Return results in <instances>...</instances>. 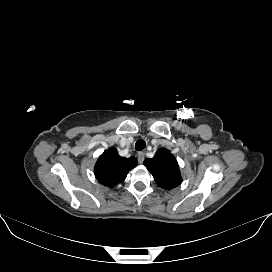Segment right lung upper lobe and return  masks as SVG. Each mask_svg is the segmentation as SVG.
Masks as SVG:
<instances>
[{
    "label": "right lung upper lobe",
    "mask_w": 272,
    "mask_h": 272,
    "mask_svg": "<svg viewBox=\"0 0 272 272\" xmlns=\"http://www.w3.org/2000/svg\"><path fill=\"white\" fill-rule=\"evenodd\" d=\"M136 166L135 157H121L115 148H111L98 158L94 174L102 185L114 187L121 183L126 178L127 173Z\"/></svg>",
    "instance_id": "obj_1"
}]
</instances>
